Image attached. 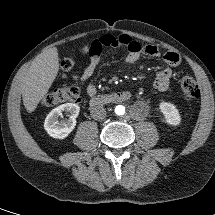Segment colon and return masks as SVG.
Listing matches in <instances>:
<instances>
[{"mask_svg": "<svg viewBox=\"0 0 215 215\" xmlns=\"http://www.w3.org/2000/svg\"><path fill=\"white\" fill-rule=\"evenodd\" d=\"M82 55L87 54V50L83 47L80 50ZM62 69L65 72H70L75 69V61L72 58H66L61 63ZM184 98L187 101L194 100L200 96V89L191 75H185L181 81ZM80 92L77 87H62L49 92L43 98V104L46 106H56L63 103H74L79 100Z\"/></svg>", "mask_w": 215, "mask_h": 215, "instance_id": "5ec220e1", "label": "colon"}]
</instances>
